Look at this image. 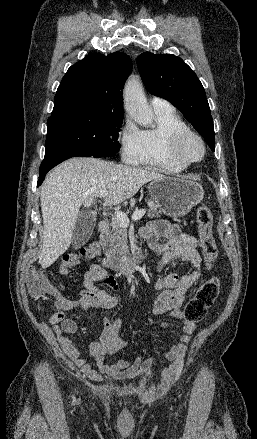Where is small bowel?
<instances>
[{
    "mask_svg": "<svg viewBox=\"0 0 257 439\" xmlns=\"http://www.w3.org/2000/svg\"><path fill=\"white\" fill-rule=\"evenodd\" d=\"M141 237L149 247L159 255L156 264V272H161L173 259L180 258L189 263L194 271L186 275L169 274L159 276L155 280V289L160 293L153 303L152 312L156 315L170 313L171 316L182 319L181 306L188 290L200 278L201 256L197 251L198 239L189 233L183 232L176 224L167 221H154L142 228ZM160 238L164 241L161 242ZM104 284L110 290L117 289V282L98 265L92 266L83 278L84 290L76 300L64 298L57 290L54 297L57 312L50 317V323L54 326L59 342L65 354L79 367L82 374L93 381H102L105 378L114 380L133 379L140 373H150L154 365V357L143 359L137 356L133 359L120 357L116 361L107 362V356H116L127 345L119 338L122 322L108 315L104 316V328L100 341L89 345L86 350L96 369L91 366L80 350L65 334L77 332V323L67 317V313L75 309H97L108 311L113 309L118 302L117 297L98 287ZM162 327H168V322H162ZM195 331L194 324H185L184 334L164 355L169 364L163 370L164 378L171 377L183 362L188 344Z\"/></svg>",
    "mask_w": 257,
    "mask_h": 439,
    "instance_id": "1",
    "label": "small bowel"
}]
</instances>
